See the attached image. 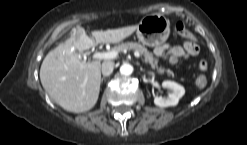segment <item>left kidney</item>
<instances>
[{
	"label": "left kidney",
	"instance_id": "5707ae66",
	"mask_svg": "<svg viewBox=\"0 0 247 145\" xmlns=\"http://www.w3.org/2000/svg\"><path fill=\"white\" fill-rule=\"evenodd\" d=\"M162 86L169 88L171 93L168 94L167 98L155 97L154 104L159 107L176 106L179 102V99L185 93L184 87L174 81L169 80L163 81Z\"/></svg>",
	"mask_w": 247,
	"mask_h": 145
}]
</instances>
